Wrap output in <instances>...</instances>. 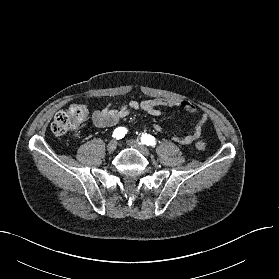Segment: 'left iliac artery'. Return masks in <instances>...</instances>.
<instances>
[{
  "instance_id": "left-iliac-artery-1",
  "label": "left iliac artery",
  "mask_w": 279,
  "mask_h": 279,
  "mask_svg": "<svg viewBox=\"0 0 279 279\" xmlns=\"http://www.w3.org/2000/svg\"><path fill=\"white\" fill-rule=\"evenodd\" d=\"M141 142L146 144L147 146H155L156 145V140L153 136L149 134H144L141 136Z\"/></svg>"
}]
</instances>
